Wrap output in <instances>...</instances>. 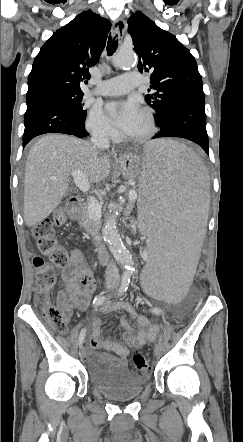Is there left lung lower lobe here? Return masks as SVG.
I'll return each instance as SVG.
<instances>
[{"label": "left lung lower lobe", "mask_w": 243, "mask_h": 442, "mask_svg": "<svg viewBox=\"0 0 243 442\" xmlns=\"http://www.w3.org/2000/svg\"><path fill=\"white\" fill-rule=\"evenodd\" d=\"M205 94L187 93L176 98L165 116L156 122L161 130L152 139L180 137L195 142L209 154L206 131Z\"/></svg>", "instance_id": "1"}]
</instances>
